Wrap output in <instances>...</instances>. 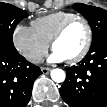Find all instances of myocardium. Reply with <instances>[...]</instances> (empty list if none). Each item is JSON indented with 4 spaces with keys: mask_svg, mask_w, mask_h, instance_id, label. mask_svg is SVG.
<instances>
[{
    "mask_svg": "<svg viewBox=\"0 0 107 107\" xmlns=\"http://www.w3.org/2000/svg\"><path fill=\"white\" fill-rule=\"evenodd\" d=\"M76 21H81L85 25L86 30H87V40H86V43H85L83 49L76 56H74L70 59H66V61L70 64H74V63L81 61L88 54V52L91 48L92 41H93V30H92V27H91L89 21L86 18H84L82 16H78V15L69 18L57 29V31L53 35L51 42H50L51 48L54 50V46H55L56 42L64 35V33L68 29V27Z\"/></svg>",
    "mask_w": 107,
    "mask_h": 107,
    "instance_id": "obj_1",
    "label": "myocardium"
}]
</instances>
